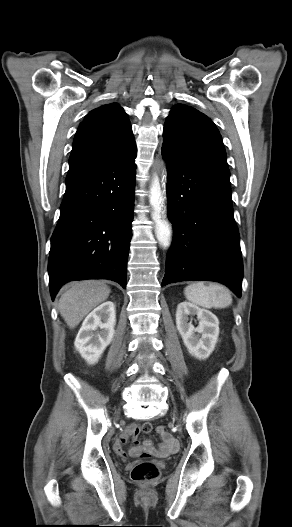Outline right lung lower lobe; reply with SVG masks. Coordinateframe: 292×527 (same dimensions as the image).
<instances>
[{"instance_id":"obj_1","label":"right lung lower lobe","mask_w":292,"mask_h":527,"mask_svg":"<svg viewBox=\"0 0 292 527\" xmlns=\"http://www.w3.org/2000/svg\"><path fill=\"white\" fill-rule=\"evenodd\" d=\"M136 151L69 164L48 261L52 300L71 280L110 279L126 287L133 220Z\"/></svg>"}]
</instances>
